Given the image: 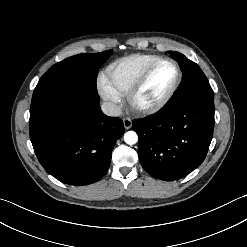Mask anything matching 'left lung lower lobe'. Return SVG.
Instances as JSON below:
<instances>
[{
  "label": "left lung lower lobe",
  "instance_id": "left-lung-lower-lobe-1",
  "mask_svg": "<svg viewBox=\"0 0 247 247\" xmlns=\"http://www.w3.org/2000/svg\"><path fill=\"white\" fill-rule=\"evenodd\" d=\"M214 100L162 108L133 121L138 156L152 177L173 181L185 177L205 159L214 130Z\"/></svg>",
  "mask_w": 247,
  "mask_h": 247
}]
</instances>
